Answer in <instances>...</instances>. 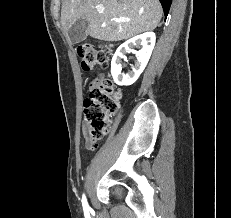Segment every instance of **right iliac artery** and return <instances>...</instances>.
<instances>
[{
  "label": "right iliac artery",
  "mask_w": 231,
  "mask_h": 218,
  "mask_svg": "<svg viewBox=\"0 0 231 218\" xmlns=\"http://www.w3.org/2000/svg\"><path fill=\"white\" fill-rule=\"evenodd\" d=\"M82 205H83L84 213L88 214V212H89V206H88V203H87L85 195H83V198H82Z\"/></svg>",
  "instance_id": "obj_1"
}]
</instances>
